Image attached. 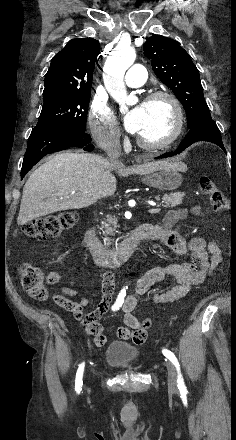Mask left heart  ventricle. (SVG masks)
<instances>
[{
	"instance_id": "left-heart-ventricle-1",
	"label": "left heart ventricle",
	"mask_w": 236,
	"mask_h": 440,
	"mask_svg": "<svg viewBox=\"0 0 236 440\" xmlns=\"http://www.w3.org/2000/svg\"><path fill=\"white\" fill-rule=\"evenodd\" d=\"M145 120L138 136L148 142H159L166 139L174 126V115L166 99L144 103Z\"/></svg>"
}]
</instances>
